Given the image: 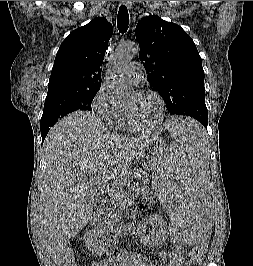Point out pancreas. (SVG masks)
<instances>
[{"instance_id":"1","label":"pancreas","mask_w":253,"mask_h":266,"mask_svg":"<svg viewBox=\"0 0 253 266\" xmlns=\"http://www.w3.org/2000/svg\"><path fill=\"white\" fill-rule=\"evenodd\" d=\"M147 183L148 175L142 172L138 174L137 182L130 187L129 191L118 188L116 193L109 194V198L106 199L108 206L102 208L98 214L99 216L104 215L105 227L112 229L119 222L120 212L131 203L132 193L135 196H140L142 201H152Z\"/></svg>"}]
</instances>
